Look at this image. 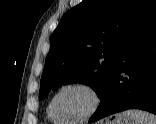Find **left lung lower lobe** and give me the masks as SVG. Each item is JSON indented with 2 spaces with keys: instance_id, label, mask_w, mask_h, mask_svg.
Segmentation results:
<instances>
[{
  "instance_id": "0a47b994",
  "label": "left lung lower lobe",
  "mask_w": 156,
  "mask_h": 124,
  "mask_svg": "<svg viewBox=\"0 0 156 124\" xmlns=\"http://www.w3.org/2000/svg\"><path fill=\"white\" fill-rule=\"evenodd\" d=\"M89 123L127 109L156 115V5L126 44Z\"/></svg>"
}]
</instances>
